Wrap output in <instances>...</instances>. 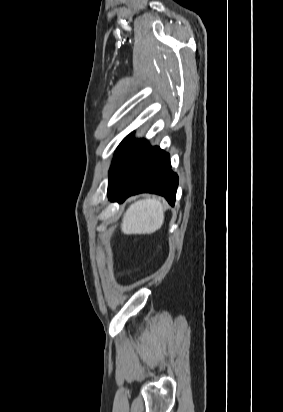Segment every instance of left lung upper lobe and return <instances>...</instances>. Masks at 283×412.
<instances>
[{
  "instance_id": "left-lung-upper-lobe-1",
  "label": "left lung upper lobe",
  "mask_w": 283,
  "mask_h": 412,
  "mask_svg": "<svg viewBox=\"0 0 283 412\" xmlns=\"http://www.w3.org/2000/svg\"><path fill=\"white\" fill-rule=\"evenodd\" d=\"M150 145L144 139L128 135L118 146L112 165L121 182L126 181L140 163Z\"/></svg>"
}]
</instances>
